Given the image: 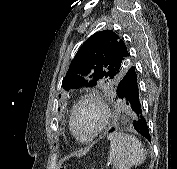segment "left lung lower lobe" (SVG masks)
Masks as SVG:
<instances>
[{
    "mask_svg": "<svg viewBox=\"0 0 177 169\" xmlns=\"http://www.w3.org/2000/svg\"><path fill=\"white\" fill-rule=\"evenodd\" d=\"M116 92L118 96L123 99L124 102L129 105V107L137 115V120H135L133 123L134 129L150 141L151 136L149 134L147 122L144 117L142 105L139 99L138 78L135 67L131 66L127 70L117 85ZM112 131H114V128L110 130V132Z\"/></svg>",
    "mask_w": 177,
    "mask_h": 169,
    "instance_id": "0a47b994",
    "label": "left lung lower lobe"
}]
</instances>
